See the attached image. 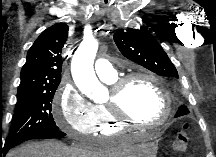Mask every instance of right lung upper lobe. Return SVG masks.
I'll return each mask as SVG.
<instances>
[{
	"label": "right lung upper lobe",
	"instance_id": "cb5924a9",
	"mask_svg": "<svg viewBox=\"0 0 216 157\" xmlns=\"http://www.w3.org/2000/svg\"><path fill=\"white\" fill-rule=\"evenodd\" d=\"M68 36V26L58 23L44 30L27 53L21 70L17 97L58 87L61 81V50Z\"/></svg>",
	"mask_w": 216,
	"mask_h": 157
}]
</instances>
